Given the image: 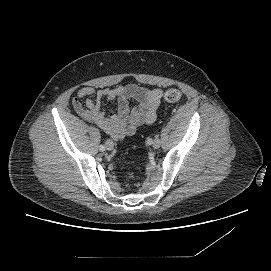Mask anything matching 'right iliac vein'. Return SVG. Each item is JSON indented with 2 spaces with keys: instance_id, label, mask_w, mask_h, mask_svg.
Masks as SVG:
<instances>
[{
  "instance_id": "obj_1",
  "label": "right iliac vein",
  "mask_w": 271,
  "mask_h": 271,
  "mask_svg": "<svg viewBox=\"0 0 271 271\" xmlns=\"http://www.w3.org/2000/svg\"><path fill=\"white\" fill-rule=\"evenodd\" d=\"M105 145L107 150H112L114 148V143L111 140H107Z\"/></svg>"
}]
</instances>
